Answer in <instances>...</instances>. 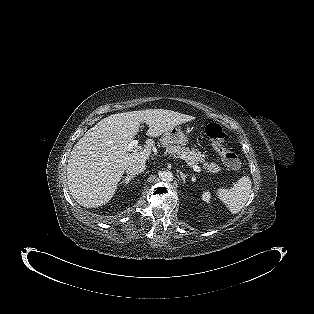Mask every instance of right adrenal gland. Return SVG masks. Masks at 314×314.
<instances>
[{"label": "right adrenal gland", "instance_id": "right-adrenal-gland-1", "mask_svg": "<svg viewBox=\"0 0 314 314\" xmlns=\"http://www.w3.org/2000/svg\"><path fill=\"white\" fill-rule=\"evenodd\" d=\"M134 177L135 176H127L124 180H122L121 184L127 185Z\"/></svg>", "mask_w": 314, "mask_h": 314}]
</instances>
